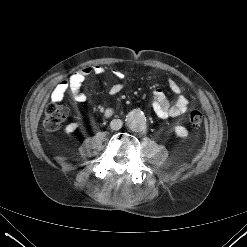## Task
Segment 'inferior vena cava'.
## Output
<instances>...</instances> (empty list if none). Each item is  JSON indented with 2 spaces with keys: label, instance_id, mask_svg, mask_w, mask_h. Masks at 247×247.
<instances>
[{
  "label": "inferior vena cava",
  "instance_id": "obj_1",
  "mask_svg": "<svg viewBox=\"0 0 247 247\" xmlns=\"http://www.w3.org/2000/svg\"><path fill=\"white\" fill-rule=\"evenodd\" d=\"M123 126V122L120 119H113L110 123V127L113 130H119Z\"/></svg>",
  "mask_w": 247,
  "mask_h": 247
}]
</instances>
